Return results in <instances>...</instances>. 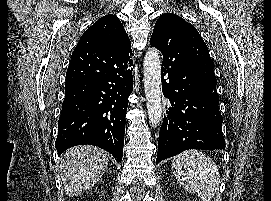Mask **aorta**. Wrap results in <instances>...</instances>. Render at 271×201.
<instances>
[{"label":"aorta","mask_w":271,"mask_h":201,"mask_svg":"<svg viewBox=\"0 0 271 201\" xmlns=\"http://www.w3.org/2000/svg\"><path fill=\"white\" fill-rule=\"evenodd\" d=\"M144 90L147 100L149 123L152 127L160 124L162 119L161 60L155 48L146 52L143 62Z\"/></svg>","instance_id":"obj_1"}]
</instances>
